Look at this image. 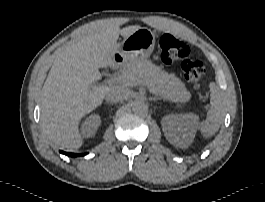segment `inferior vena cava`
<instances>
[{"label": "inferior vena cava", "instance_id": "602c4592", "mask_svg": "<svg viewBox=\"0 0 265 202\" xmlns=\"http://www.w3.org/2000/svg\"><path fill=\"white\" fill-rule=\"evenodd\" d=\"M128 97H129V90L127 88L114 85L107 90L105 99L107 102L117 103L127 99Z\"/></svg>", "mask_w": 265, "mask_h": 202}]
</instances>
